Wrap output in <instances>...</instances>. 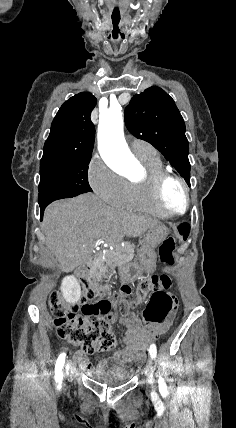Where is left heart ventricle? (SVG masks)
Listing matches in <instances>:
<instances>
[{"label":"left heart ventricle","instance_id":"b2bd125f","mask_svg":"<svg viewBox=\"0 0 236 428\" xmlns=\"http://www.w3.org/2000/svg\"><path fill=\"white\" fill-rule=\"evenodd\" d=\"M165 199L170 206L181 209L185 202V196L181 186L176 182L168 183L165 188Z\"/></svg>","mask_w":236,"mask_h":428}]
</instances>
